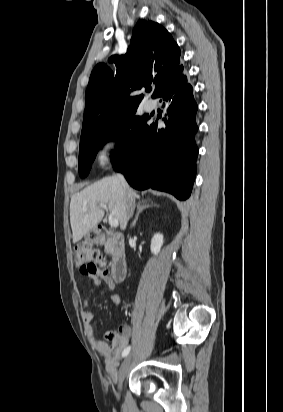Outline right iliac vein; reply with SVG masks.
Returning <instances> with one entry per match:
<instances>
[{
    "instance_id": "obj_1",
    "label": "right iliac vein",
    "mask_w": 283,
    "mask_h": 412,
    "mask_svg": "<svg viewBox=\"0 0 283 412\" xmlns=\"http://www.w3.org/2000/svg\"><path fill=\"white\" fill-rule=\"evenodd\" d=\"M133 356H134V353H131L130 355H128V356L124 359V361H123L122 364H121V367H120V369H119V375H118V390L121 389L122 383H123V381H124V379H125L128 371H129V369H130V367H131V362H132ZM116 395H117V398L120 397L119 391L117 392Z\"/></svg>"
}]
</instances>
